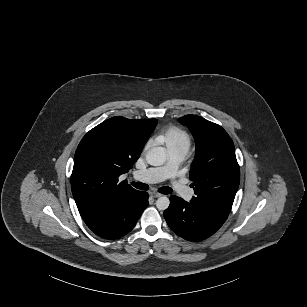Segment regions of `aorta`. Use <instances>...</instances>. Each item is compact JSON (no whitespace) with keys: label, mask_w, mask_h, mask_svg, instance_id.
Masks as SVG:
<instances>
[{"label":"aorta","mask_w":307,"mask_h":307,"mask_svg":"<svg viewBox=\"0 0 307 307\" xmlns=\"http://www.w3.org/2000/svg\"><path fill=\"white\" fill-rule=\"evenodd\" d=\"M167 159L166 149L164 147H153L147 151L146 161L152 166H161ZM170 200L166 196H161L156 201V207L159 210H166L169 207Z\"/></svg>","instance_id":"1"}]
</instances>
